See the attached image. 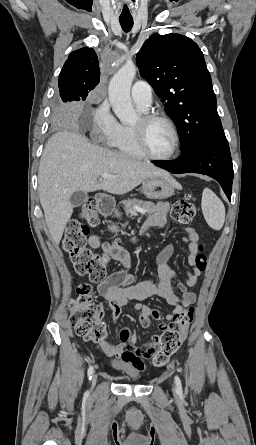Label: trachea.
<instances>
[{
  "label": "trachea",
  "instance_id": "obj_1",
  "mask_svg": "<svg viewBox=\"0 0 256 445\" xmlns=\"http://www.w3.org/2000/svg\"><path fill=\"white\" fill-rule=\"evenodd\" d=\"M120 24L125 32H129L133 27V20H120Z\"/></svg>",
  "mask_w": 256,
  "mask_h": 445
}]
</instances>
